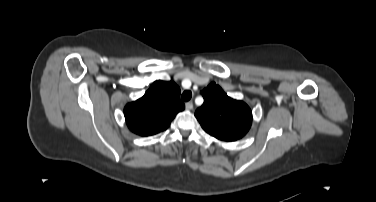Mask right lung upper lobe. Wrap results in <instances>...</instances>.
<instances>
[{"instance_id": "right-lung-upper-lobe-1", "label": "right lung upper lobe", "mask_w": 376, "mask_h": 202, "mask_svg": "<svg viewBox=\"0 0 376 202\" xmlns=\"http://www.w3.org/2000/svg\"><path fill=\"white\" fill-rule=\"evenodd\" d=\"M185 109L180 88L172 81H155L140 99L124 108L130 131L150 136L166 130L176 114Z\"/></svg>"}]
</instances>
